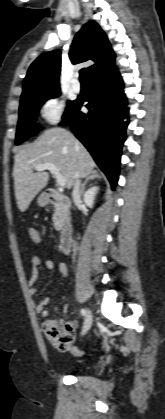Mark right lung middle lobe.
I'll return each mask as SVG.
<instances>
[{"mask_svg": "<svg viewBox=\"0 0 165 419\" xmlns=\"http://www.w3.org/2000/svg\"><path fill=\"white\" fill-rule=\"evenodd\" d=\"M60 90H53L46 93L34 95L20 102L19 121L16 133V145L21 144L31 136L37 134L39 128L35 125L36 117L40 107L45 101L59 96ZM75 101H69L64 115L68 114L75 106Z\"/></svg>", "mask_w": 165, "mask_h": 419, "instance_id": "obj_1", "label": "right lung middle lobe"}]
</instances>
